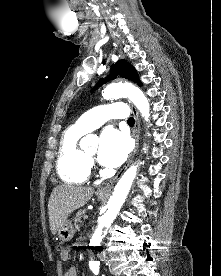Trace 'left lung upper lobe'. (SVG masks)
<instances>
[{
    "label": "left lung upper lobe",
    "mask_w": 221,
    "mask_h": 276,
    "mask_svg": "<svg viewBox=\"0 0 221 276\" xmlns=\"http://www.w3.org/2000/svg\"><path fill=\"white\" fill-rule=\"evenodd\" d=\"M111 76H109L108 79H101L98 83V86H101L103 83H105L108 80L117 78V76H121L123 78H127L129 80H133L137 82L139 85H141V82L139 81L138 74L135 72V68L131 66L128 62L125 60H119L116 64H113L111 66Z\"/></svg>",
    "instance_id": "5c2ea615"
}]
</instances>
